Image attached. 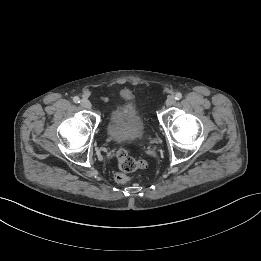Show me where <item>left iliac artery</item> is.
Masks as SVG:
<instances>
[{
	"instance_id": "44dca946",
	"label": "left iliac artery",
	"mask_w": 261,
	"mask_h": 261,
	"mask_svg": "<svg viewBox=\"0 0 261 261\" xmlns=\"http://www.w3.org/2000/svg\"><path fill=\"white\" fill-rule=\"evenodd\" d=\"M182 98V94L180 92L176 93L175 99L180 100Z\"/></svg>"
}]
</instances>
